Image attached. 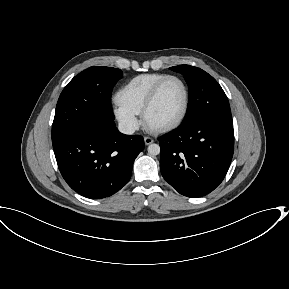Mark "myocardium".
Instances as JSON below:
<instances>
[{"label": "myocardium", "mask_w": 289, "mask_h": 289, "mask_svg": "<svg viewBox=\"0 0 289 289\" xmlns=\"http://www.w3.org/2000/svg\"><path fill=\"white\" fill-rule=\"evenodd\" d=\"M169 80H177L183 87L184 90V105H183V109L182 112L180 113L179 117L174 120L173 122L160 126V127H151L148 125L147 123V116L148 113L150 111V109L152 108L162 86L168 82ZM189 106H190V90L189 87L187 85V83L185 82L184 79H182L181 77L177 76V75H167L164 78H162L160 81H158L153 88L151 89V91L149 92L142 110H141V117L143 120V123L148 126L151 130L155 131V132H167V131H171L177 127H179L183 121L185 120L188 110H189Z\"/></svg>", "instance_id": "1"}]
</instances>
